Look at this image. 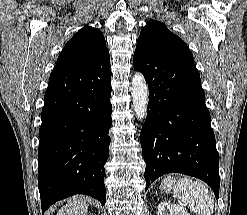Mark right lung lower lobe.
Masks as SVG:
<instances>
[{
	"label": "right lung lower lobe",
	"mask_w": 247,
	"mask_h": 215,
	"mask_svg": "<svg viewBox=\"0 0 247 215\" xmlns=\"http://www.w3.org/2000/svg\"><path fill=\"white\" fill-rule=\"evenodd\" d=\"M111 90L109 53L87 66L57 63L54 67L39 132L42 212L75 194H86L105 204Z\"/></svg>",
	"instance_id": "right-lung-lower-lobe-1"
}]
</instances>
